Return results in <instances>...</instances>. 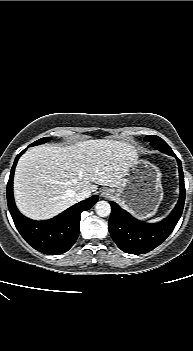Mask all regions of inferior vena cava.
Returning a JSON list of instances; mask_svg holds the SVG:
<instances>
[{
  "label": "inferior vena cava",
  "instance_id": "inferior-vena-cava-1",
  "mask_svg": "<svg viewBox=\"0 0 193 351\" xmlns=\"http://www.w3.org/2000/svg\"><path fill=\"white\" fill-rule=\"evenodd\" d=\"M90 195H91V191L89 189H83L75 194V198L77 201H82L88 198Z\"/></svg>",
  "mask_w": 193,
  "mask_h": 351
}]
</instances>
